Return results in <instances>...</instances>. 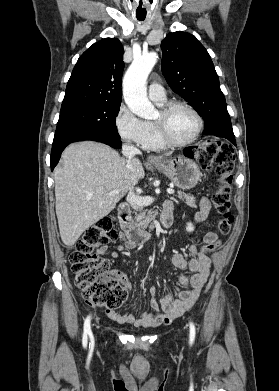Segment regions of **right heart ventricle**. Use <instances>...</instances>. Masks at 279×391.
<instances>
[{"mask_svg": "<svg viewBox=\"0 0 279 391\" xmlns=\"http://www.w3.org/2000/svg\"><path fill=\"white\" fill-rule=\"evenodd\" d=\"M156 103L158 106H163L165 104V101L156 102ZM145 125H146L147 135L142 144L143 148L148 150H154V151L164 150L167 146H165L161 142L154 123L148 121L145 122Z\"/></svg>", "mask_w": 279, "mask_h": 391, "instance_id": "obj_1", "label": "right heart ventricle"}]
</instances>
